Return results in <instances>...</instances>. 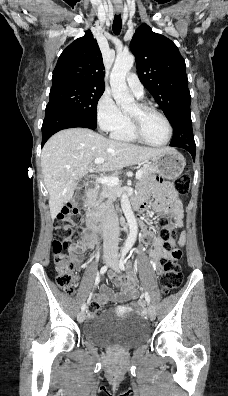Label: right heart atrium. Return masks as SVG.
I'll return each instance as SVG.
<instances>
[{
	"label": "right heart atrium",
	"instance_id": "obj_1",
	"mask_svg": "<svg viewBox=\"0 0 228 396\" xmlns=\"http://www.w3.org/2000/svg\"><path fill=\"white\" fill-rule=\"evenodd\" d=\"M96 119L102 131L113 132L125 125L128 117L119 109L112 95L105 91L96 105Z\"/></svg>",
	"mask_w": 228,
	"mask_h": 396
}]
</instances>
